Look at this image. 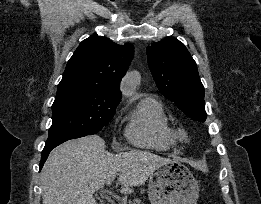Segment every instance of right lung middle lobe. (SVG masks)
<instances>
[{"label":"right lung middle lobe","instance_id":"1","mask_svg":"<svg viewBox=\"0 0 261 204\" xmlns=\"http://www.w3.org/2000/svg\"><path fill=\"white\" fill-rule=\"evenodd\" d=\"M119 102L90 91L56 95L46 143L98 133L113 118Z\"/></svg>","mask_w":261,"mask_h":204}]
</instances>
